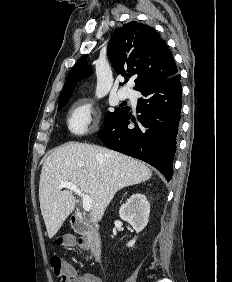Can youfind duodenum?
Segmentation results:
<instances>
[{"label":"duodenum","instance_id":"410a0bca","mask_svg":"<svg viewBox=\"0 0 232 282\" xmlns=\"http://www.w3.org/2000/svg\"><path fill=\"white\" fill-rule=\"evenodd\" d=\"M72 226L75 232L86 238L93 257L99 260L102 254V242L98 230L84 218L77 215L72 217Z\"/></svg>","mask_w":232,"mask_h":282}]
</instances>
